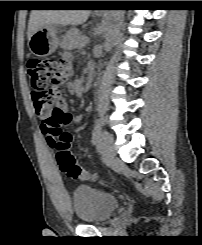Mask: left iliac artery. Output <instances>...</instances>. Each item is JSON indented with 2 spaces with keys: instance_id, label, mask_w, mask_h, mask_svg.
<instances>
[{
  "instance_id": "left-iliac-artery-1",
  "label": "left iliac artery",
  "mask_w": 202,
  "mask_h": 245,
  "mask_svg": "<svg viewBox=\"0 0 202 245\" xmlns=\"http://www.w3.org/2000/svg\"><path fill=\"white\" fill-rule=\"evenodd\" d=\"M100 133H101L100 119H97L94 130H93V134H92V144L93 145H95L98 142Z\"/></svg>"
}]
</instances>
